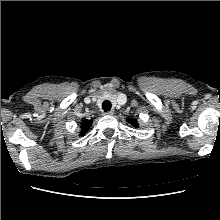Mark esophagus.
<instances>
[{"mask_svg": "<svg viewBox=\"0 0 220 220\" xmlns=\"http://www.w3.org/2000/svg\"><path fill=\"white\" fill-rule=\"evenodd\" d=\"M105 114L111 116V115L114 114V111H113V110H110V111H107Z\"/></svg>", "mask_w": 220, "mask_h": 220, "instance_id": "esophagus-1", "label": "esophagus"}]
</instances>
